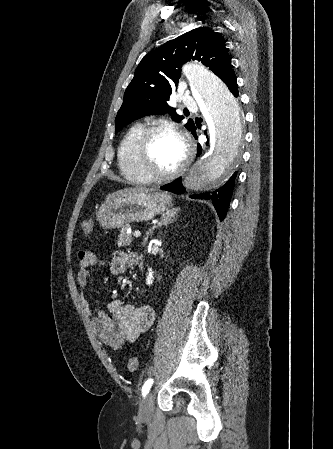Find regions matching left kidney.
<instances>
[{
  "instance_id": "1",
  "label": "left kidney",
  "mask_w": 333,
  "mask_h": 449,
  "mask_svg": "<svg viewBox=\"0 0 333 449\" xmlns=\"http://www.w3.org/2000/svg\"><path fill=\"white\" fill-rule=\"evenodd\" d=\"M153 271H152V269L150 268L149 270H148V274H147V277H146V284L148 285V286H151L152 284H153V279H154V275H153Z\"/></svg>"
}]
</instances>
